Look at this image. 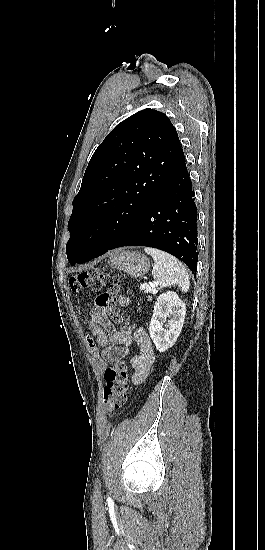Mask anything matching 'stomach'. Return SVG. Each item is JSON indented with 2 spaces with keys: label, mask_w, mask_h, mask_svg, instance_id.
Returning a JSON list of instances; mask_svg holds the SVG:
<instances>
[{
  "label": "stomach",
  "mask_w": 265,
  "mask_h": 550,
  "mask_svg": "<svg viewBox=\"0 0 265 550\" xmlns=\"http://www.w3.org/2000/svg\"><path fill=\"white\" fill-rule=\"evenodd\" d=\"M110 267L121 270L128 275L139 278L149 270L148 258L136 251H117L108 261Z\"/></svg>",
  "instance_id": "stomach-1"
}]
</instances>
